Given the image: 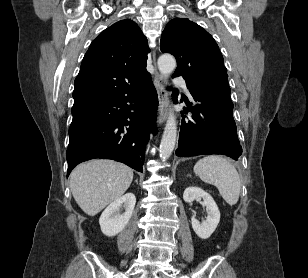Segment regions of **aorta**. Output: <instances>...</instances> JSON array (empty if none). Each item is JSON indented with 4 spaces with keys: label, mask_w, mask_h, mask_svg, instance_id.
<instances>
[{
    "label": "aorta",
    "mask_w": 308,
    "mask_h": 278,
    "mask_svg": "<svg viewBox=\"0 0 308 278\" xmlns=\"http://www.w3.org/2000/svg\"><path fill=\"white\" fill-rule=\"evenodd\" d=\"M158 68L163 77H168L176 68V60L172 55L164 54L158 59ZM177 136V122L175 115L170 111L160 143V158L168 159L175 147Z\"/></svg>",
    "instance_id": "1"
}]
</instances>
